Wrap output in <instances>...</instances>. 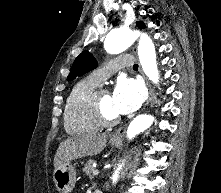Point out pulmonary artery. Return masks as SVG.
<instances>
[{"instance_id":"obj_1","label":"pulmonary artery","mask_w":221,"mask_h":193,"mask_svg":"<svg viewBox=\"0 0 221 193\" xmlns=\"http://www.w3.org/2000/svg\"><path fill=\"white\" fill-rule=\"evenodd\" d=\"M133 62L134 58L129 55L117 57L108 65L94 70L91 77L100 84L118 69L132 66Z\"/></svg>"}]
</instances>
